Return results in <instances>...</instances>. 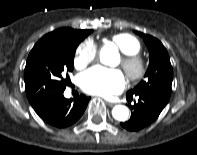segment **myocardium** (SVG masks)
I'll return each mask as SVG.
<instances>
[{"label": "myocardium", "instance_id": "1", "mask_svg": "<svg viewBox=\"0 0 197 155\" xmlns=\"http://www.w3.org/2000/svg\"><path fill=\"white\" fill-rule=\"evenodd\" d=\"M121 66L131 82L142 80L147 71L144 59L138 54H124Z\"/></svg>", "mask_w": 197, "mask_h": 155}]
</instances>
